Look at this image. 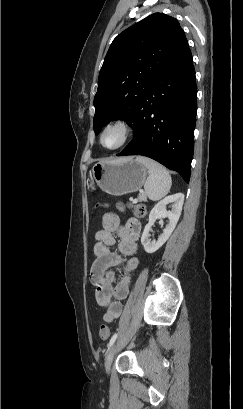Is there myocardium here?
I'll use <instances>...</instances> for the list:
<instances>
[{
    "mask_svg": "<svg viewBox=\"0 0 243 409\" xmlns=\"http://www.w3.org/2000/svg\"><path fill=\"white\" fill-rule=\"evenodd\" d=\"M111 129H116L121 133V141L114 147H107L103 143V136L107 131ZM131 135H132V128H131L130 123L124 118H116V119H113L107 122L102 127L99 133V143L104 149L108 151H115L125 146L127 142L129 141Z\"/></svg>",
    "mask_w": 243,
    "mask_h": 409,
    "instance_id": "f54148a6",
    "label": "myocardium"
}]
</instances>
